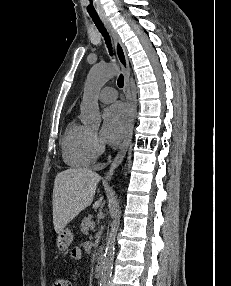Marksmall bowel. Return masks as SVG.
Listing matches in <instances>:
<instances>
[{
  "label": "small bowel",
  "mask_w": 231,
  "mask_h": 286,
  "mask_svg": "<svg viewBox=\"0 0 231 286\" xmlns=\"http://www.w3.org/2000/svg\"><path fill=\"white\" fill-rule=\"evenodd\" d=\"M81 255H82V252H81V249L80 248H78V247H76V248H73L72 250H71V257L73 258V259H80L81 258Z\"/></svg>",
  "instance_id": "1"
}]
</instances>
